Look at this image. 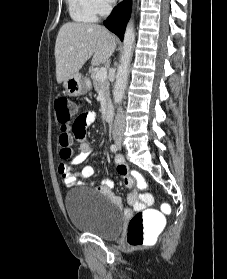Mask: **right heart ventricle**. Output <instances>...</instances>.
<instances>
[{
  "label": "right heart ventricle",
  "mask_w": 227,
  "mask_h": 279,
  "mask_svg": "<svg viewBox=\"0 0 227 279\" xmlns=\"http://www.w3.org/2000/svg\"><path fill=\"white\" fill-rule=\"evenodd\" d=\"M69 13L73 20L78 22H92L96 20V14L89 6L88 0H67Z\"/></svg>",
  "instance_id": "right-heart-ventricle-1"
}]
</instances>
